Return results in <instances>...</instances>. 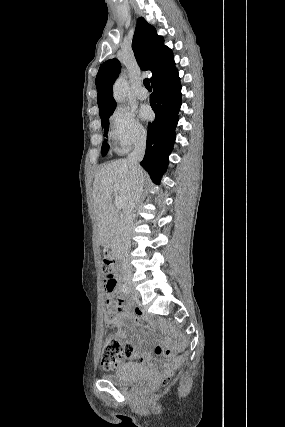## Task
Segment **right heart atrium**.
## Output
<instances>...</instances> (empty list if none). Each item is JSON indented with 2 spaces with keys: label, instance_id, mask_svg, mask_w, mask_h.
<instances>
[{
  "label": "right heart atrium",
  "instance_id": "right-heart-atrium-1",
  "mask_svg": "<svg viewBox=\"0 0 285 427\" xmlns=\"http://www.w3.org/2000/svg\"><path fill=\"white\" fill-rule=\"evenodd\" d=\"M110 137L116 144L118 152H126L142 143L145 131L135 118L133 112L125 107H118L110 117Z\"/></svg>",
  "mask_w": 285,
  "mask_h": 427
}]
</instances>
